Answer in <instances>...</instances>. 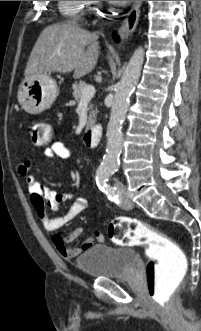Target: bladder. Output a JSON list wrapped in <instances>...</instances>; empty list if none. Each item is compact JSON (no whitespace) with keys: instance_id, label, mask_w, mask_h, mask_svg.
<instances>
[{"instance_id":"31cf9c89","label":"bladder","mask_w":201,"mask_h":331,"mask_svg":"<svg viewBox=\"0 0 201 331\" xmlns=\"http://www.w3.org/2000/svg\"><path fill=\"white\" fill-rule=\"evenodd\" d=\"M136 253L129 247L96 244L75 261L76 267L86 276L99 279L125 277L134 265Z\"/></svg>"}]
</instances>
